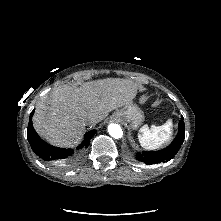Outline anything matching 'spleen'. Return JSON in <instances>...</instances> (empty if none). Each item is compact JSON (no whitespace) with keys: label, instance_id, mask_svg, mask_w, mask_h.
Returning a JSON list of instances; mask_svg holds the SVG:
<instances>
[{"label":"spleen","instance_id":"1","mask_svg":"<svg viewBox=\"0 0 221 221\" xmlns=\"http://www.w3.org/2000/svg\"><path fill=\"white\" fill-rule=\"evenodd\" d=\"M172 125V120H168L161 126L153 125L151 128L144 125L139 130L138 138L140 145L148 150L158 149L171 138Z\"/></svg>","mask_w":221,"mask_h":221}]
</instances>
